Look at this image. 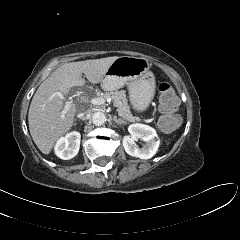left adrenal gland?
<instances>
[{"label":"left adrenal gland","instance_id":"a2214340","mask_svg":"<svg viewBox=\"0 0 240 240\" xmlns=\"http://www.w3.org/2000/svg\"><path fill=\"white\" fill-rule=\"evenodd\" d=\"M114 121L118 124V125H121V124H126V122L122 119H118L117 117H114Z\"/></svg>","mask_w":240,"mask_h":240}]
</instances>
